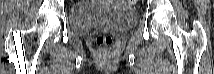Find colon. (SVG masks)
<instances>
[{"label":"colon","mask_w":214,"mask_h":74,"mask_svg":"<svg viewBox=\"0 0 214 74\" xmlns=\"http://www.w3.org/2000/svg\"><path fill=\"white\" fill-rule=\"evenodd\" d=\"M125 3L128 7H132L136 0H127ZM96 43L99 47H110L114 43V37L110 33H101L97 35Z\"/></svg>","instance_id":"colon-1"}]
</instances>
